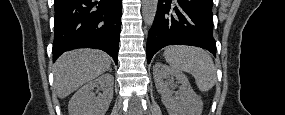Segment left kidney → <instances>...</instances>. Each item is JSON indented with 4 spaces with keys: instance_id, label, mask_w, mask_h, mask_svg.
I'll return each mask as SVG.
<instances>
[{
    "instance_id": "5707ae66",
    "label": "left kidney",
    "mask_w": 285,
    "mask_h": 115,
    "mask_svg": "<svg viewBox=\"0 0 285 115\" xmlns=\"http://www.w3.org/2000/svg\"><path fill=\"white\" fill-rule=\"evenodd\" d=\"M154 81L157 91L161 94V99L169 115H201L203 102L193 91L188 78L180 71L174 70L166 64L156 63L153 67ZM175 77L180 84L176 97L169 88V83L164 79Z\"/></svg>"
}]
</instances>
